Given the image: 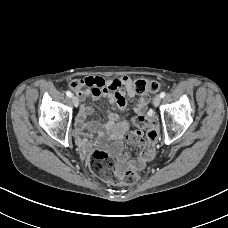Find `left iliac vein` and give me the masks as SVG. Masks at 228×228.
<instances>
[{
	"instance_id": "4c4485c4",
	"label": "left iliac vein",
	"mask_w": 228,
	"mask_h": 228,
	"mask_svg": "<svg viewBox=\"0 0 228 228\" xmlns=\"http://www.w3.org/2000/svg\"><path fill=\"white\" fill-rule=\"evenodd\" d=\"M160 102H161V97H160V95L155 96L154 99H153V105H154L155 107H157V106H159Z\"/></svg>"
}]
</instances>
